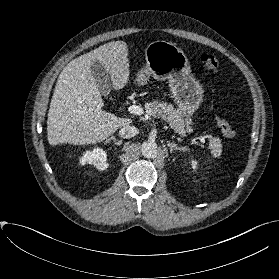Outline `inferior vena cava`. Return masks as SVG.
<instances>
[{"instance_id": "obj_1", "label": "inferior vena cava", "mask_w": 279, "mask_h": 279, "mask_svg": "<svg viewBox=\"0 0 279 279\" xmlns=\"http://www.w3.org/2000/svg\"><path fill=\"white\" fill-rule=\"evenodd\" d=\"M138 133V130L135 126L126 125L119 131V136L121 138H131L134 137Z\"/></svg>"}]
</instances>
